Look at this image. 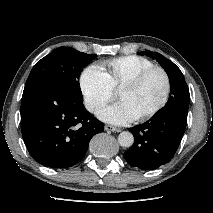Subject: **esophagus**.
Masks as SVG:
<instances>
[{"label":"esophagus","mask_w":213,"mask_h":213,"mask_svg":"<svg viewBox=\"0 0 213 213\" xmlns=\"http://www.w3.org/2000/svg\"><path fill=\"white\" fill-rule=\"evenodd\" d=\"M104 128H105L106 131H112V132H120L121 131L120 128L114 127L112 125H105Z\"/></svg>","instance_id":"esophagus-1"}]
</instances>
